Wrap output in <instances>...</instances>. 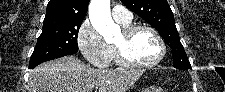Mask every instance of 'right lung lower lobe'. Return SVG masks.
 Returning a JSON list of instances; mask_svg holds the SVG:
<instances>
[{"label":"right lung lower lobe","mask_w":225,"mask_h":92,"mask_svg":"<svg viewBox=\"0 0 225 92\" xmlns=\"http://www.w3.org/2000/svg\"><path fill=\"white\" fill-rule=\"evenodd\" d=\"M76 52H73V53H67V54H64V55H61L59 57H63V56H66V55H72V54H75ZM59 57H54V58H49V59H45V60H41V61H35V62H31L29 63V68L33 69L35 68L37 65H39L40 63H43L45 61H49V60H53L55 58H59Z\"/></svg>","instance_id":"1"}]
</instances>
